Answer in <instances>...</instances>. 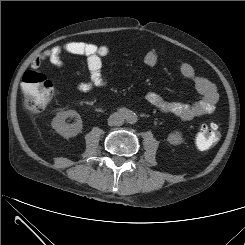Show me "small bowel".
Masks as SVG:
<instances>
[{
  "instance_id": "c3829d8e",
  "label": "small bowel",
  "mask_w": 245,
  "mask_h": 245,
  "mask_svg": "<svg viewBox=\"0 0 245 245\" xmlns=\"http://www.w3.org/2000/svg\"><path fill=\"white\" fill-rule=\"evenodd\" d=\"M81 55L86 58L89 71V79L77 85L80 92L106 85L102 75L103 59L109 55V48L87 42L69 41L61 45L51 47L39 54L33 61V67L37 68L44 62H49L55 67H63L65 62L62 54ZM145 63L153 67L158 63L159 55L151 50L145 54ZM180 74L191 81L199 94V99L191 103L169 102L156 93H150L147 101L159 111L174 115L183 121H188L213 112L217 106L219 97L216 87L207 78L198 75L194 67L189 63H183L179 68Z\"/></svg>"
}]
</instances>
